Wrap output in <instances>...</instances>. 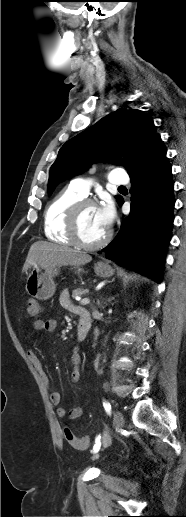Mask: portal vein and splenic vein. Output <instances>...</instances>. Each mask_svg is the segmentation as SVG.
<instances>
[{
    "label": "portal vein and splenic vein",
    "instance_id": "portal-vein-and-splenic-vein-1",
    "mask_svg": "<svg viewBox=\"0 0 186 517\" xmlns=\"http://www.w3.org/2000/svg\"><path fill=\"white\" fill-rule=\"evenodd\" d=\"M90 300L88 298H83L81 301H80V304L81 305H87L89 304Z\"/></svg>",
    "mask_w": 186,
    "mask_h": 517
}]
</instances>
